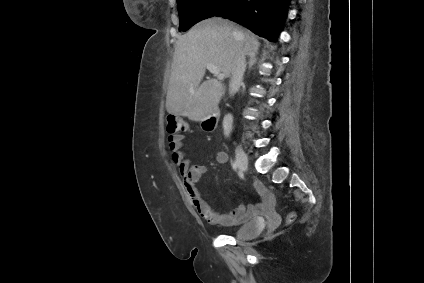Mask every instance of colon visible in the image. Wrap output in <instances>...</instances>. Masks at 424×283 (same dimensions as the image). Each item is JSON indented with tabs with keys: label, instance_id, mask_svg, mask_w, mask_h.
Returning <instances> with one entry per match:
<instances>
[{
	"label": "colon",
	"instance_id": "obj_1",
	"mask_svg": "<svg viewBox=\"0 0 424 283\" xmlns=\"http://www.w3.org/2000/svg\"><path fill=\"white\" fill-rule=\"evenodd\" d=\"M185 122L177 115L169 114L166 116V129L170 134H175L185 129ZM289 221L293 220V215H289Z\"/></svg>",
	"mask_w": 424,
	"mask_h": 283
}]
</instances>
